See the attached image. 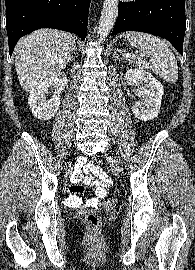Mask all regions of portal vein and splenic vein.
<instances>
[{
    "label": "portal vein and splenic vein",
    "instance_id": "1",
    "mask_svg": "<svg viewBox=\"0 0 195 270\" xmlns=\"http://www.w3.org/2000/svg\"><path fill=\"white\" fill-rule=\"evenodd\" d=\"M125 58H129L131 57V54H126V55H123ZM133 57H136V55H132Z\"/></svg>",
    "mask_w": 195,
    "mask_h": 270
}]
</instances>
